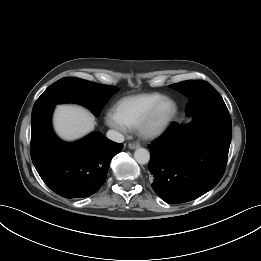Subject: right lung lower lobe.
Listing matches in <instances>:
<instances>
[{
	"mask_svg": "<svg viewBox=\"0 0 261 261\" xmlns=\"http://www.w3.org/2000/svg\"><path fill=\"white\" fill-rule=\"evenodd\" d=\"M54 105L32 114L31 158L45 184L66 198L88 197L105 182L110 161L123 147L99 133L66 143L51 127Z\"/></svg>",
	"mask_w": 261,
	"mask_h": 261,
	"instance_id": "right-lung-lower-lobe-1",
	"label": "right lung lower lobe"
}]
</instances>
